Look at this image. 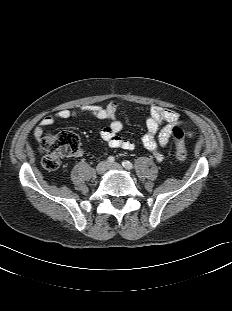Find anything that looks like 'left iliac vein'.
I'll use <instances>...</instances> for the list:
<instances>
[{"mask_svg": "<svg viewBox=\"0 0 232 311\" xmlns=\"http://www.w3.org/2000/svg\"><path fill=\"white\" fill-rule=\"evenodd\" d=\"M108 169L121 170L122 166L119 163L109 164Z\"/></svg>", "mask_w": 232, "mask_h": 311, "instance_id": "4c4485c4", "label": "left iliac vein"}]
</instances>
